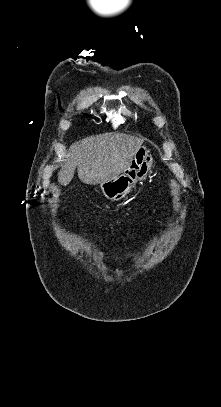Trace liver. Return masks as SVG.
<instances>
[{
    "mask_svg": "<svg viewBox=\"0 0 221 407\" xmlns=\"http://www.w3.org/2000/svg\"><path fill=\"white\" fill-rule=\"evenodd\" d=\"M144 139L124 133H105L84 138L70 146L58 172V182L67 186L77 168L79 179L96 185L120 175Z\"/></svg>",
    "mask_w": 221,
    "mask_h": 407,
    "instance_id": "liver-1",
    "label": "liver"
}]
</instances>
